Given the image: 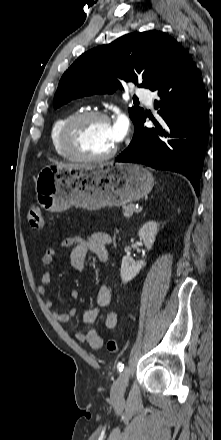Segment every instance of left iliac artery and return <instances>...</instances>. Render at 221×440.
I'll return each instance as SVG.
<instances>
[{"label": "left iliac artery", "instance_id": "obj_1", "mask_svg": "<svg viewBox=\"0 0 221 440\" xmlns=\"http://www.w3.org/2000/svg\"><path fill=\"white\" fill-rule=\"evenodd\" d=\"M118 370L121 372L124 369V364H122L121 362L118 363L117 365Z\"/></svg>", "mask_w": 221, "mask_h": 440}]
</instances>
